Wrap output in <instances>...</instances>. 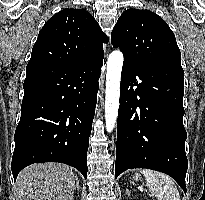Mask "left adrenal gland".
I'll use <instances>...</instances> for the list:
<instances>
[{"mask_svg":"<svg viewBox=\"0 0 205 200\" xmlns=\"http://www.w3.org/2000/svg\"><path fill=\"white\" fill-rule=\"evenodd\" d=\"M130 191L128 189H126V195H129Z\"/></svg>","mask_w":205,"mask_h":200,"instance_id":"a2214340","label":"left adrenal gland"}]
</instances>
